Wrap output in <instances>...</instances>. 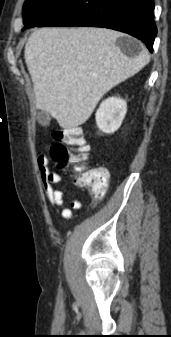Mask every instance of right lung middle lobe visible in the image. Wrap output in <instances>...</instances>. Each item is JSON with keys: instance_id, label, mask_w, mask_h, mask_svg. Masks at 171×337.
<instances>
[{"instance_id": "obj_1", "label": "right lung middle lobe", "mask_w": 171, "mask_h": 337, "mask_svg": "<svg viewBox=\"0 0 171 337\" xmlns=\"http://www.w3.org/2000/svg\"><path fill=\"white\" fill-rule=\"evenodd\" d=\"M68 0H26L24 3L23 23L31 28L40 24L58 11Z\"/></svg>"}]
</instances>
